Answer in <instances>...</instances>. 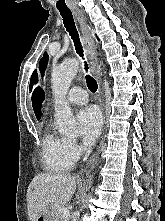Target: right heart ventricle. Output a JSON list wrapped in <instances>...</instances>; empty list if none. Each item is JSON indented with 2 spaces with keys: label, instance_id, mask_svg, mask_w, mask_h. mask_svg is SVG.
I'll use <instances>...</instances> for the list:
<instances>
[{
  "label": "right heart ventricle",
  "instance_id": "1",
  "mask_svg": "<svg viewBox=\"0 0 165 221\" xmlns=\"http://www.w3.org/2000/svg\"><path fill=\"white\" fill-rule=\"evenodd\" d=\"M41 159L46 170L61 172L70 170L77 157L70 152L68 140L49 128L42 138Z\"/></svg>",
  "mask_w": 165,
  "mask_h": 221
}]
</instances>
